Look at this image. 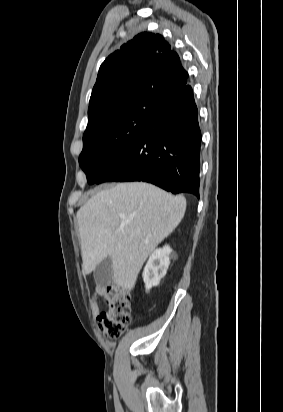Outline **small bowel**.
Listing matches in <instances>:
<instances>
[{
	"mask_svg": "<svg viewBox=\"0 0 283 412\" xmlns=\"http://www.w3.org/2000/svg\"><path fill=\"white\" fill-rule=\"evenodd\" d=\"M105 295V291L101 287H96L95 289V297L91 299V307L94 311H98L99 303L97 297H103Z\"/></svg>",
	"mask_w": 283,
	"mask_h": 412,
	"instance_id": "c3829d8e",
	"label": "small bowel"
}]
</instances>
